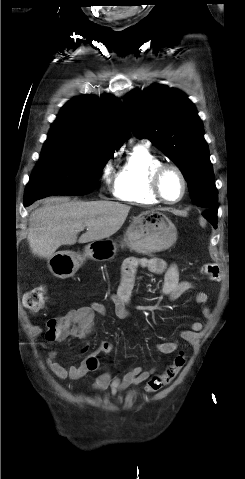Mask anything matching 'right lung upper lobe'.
<instances>
[{
    "instance_id": "right-lung-upper-lobe-1",
    "label": "right lung upper lobe",
    "mask_w": 245,
    "mask_h": 479,
    "mask_svg": "<svg viewBox=\"0 0 245 479\" xmlns=\"http://www.w3.org/2000/svg\"><path fill=\"white\" fill-rule=\"evenodd\" d=\"M49 135L79 140L95 148L116 150L131 133L119 100L103 94L100 99L81 96L66 103Z\"/></svg>"
}]
</instances>
